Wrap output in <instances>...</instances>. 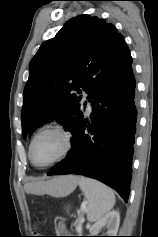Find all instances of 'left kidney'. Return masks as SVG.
Wrapping results in <instances>:
<instances>
[{"label": "left kidney", "mask_w": 158, "mask_h": 237, "mask_svg": "<svg viewBox=\"0 0 158 237\" xmlns=\"http://www.w3.org/2000/svg\"><path fill=\"white\" fill-rule=\"evenodd\" d=\"M119 224H120L119 212L111 211L91 226L90 235L98 236V234L102 229H106L105 234L101 236H116Z\"/></svg>", "instance_id": "obj_1"}]
</instances>
